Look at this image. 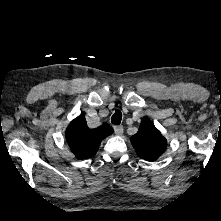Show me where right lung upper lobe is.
<instances>
[{"instance_id":"right-lung-upper-lobe-1","label":"right lung upper lobe","mask_w":221,"mask_h":221,"mask_svg":"<svg viewBox=\"0 0 221 221\" xmlns=\"http://www.w3.org/2000/svg\"><path fill=\"white\" fill-rule=\"evenodd\" d=\"M112 133V127L106 123L96 129H90L85 117L81 115L67 127L66 140L77 158L87 159L96 154L101 141Z\"/></svg>"}]
</instances>
